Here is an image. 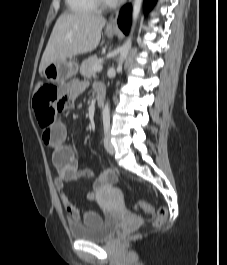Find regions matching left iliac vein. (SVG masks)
Returning a JSON list of instances; mask_svg holds the SVG:
<instances>
[{
    "instance_id": "1",
    "label": "left iliac vein",
    "mask_w": 227,
    "mask_h": 265,
    "mask_svg": "<svg viewBox=\"0 0 227 265\" xmlns=\"http://www.w3.org/2000/svg\"><path fill=\"white\" fill-rule=\"evenodd\" d=\"M104 146H105L106 151H107L110 155H114V153H115V149H114L113 144L111 143L110 136H109L108 133L106 134V136H105V138H104Z\"/></svg>"
}]
</instances>
